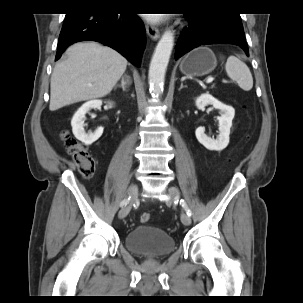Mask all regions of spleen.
Returning <instances> with one entry per match:
<instances>
[{"mask_svg": "<svg viewBox=\"0 0 303 303\" xmlns=\"http://www.w3.org/2000/svg\"><path fill=\"white\" fill-rule=\"evenodd\" d=\"M227 75L244 91L253 87V77L248 66L235 56H230L225 64Z\"/></svg>", "mask_w": 303, "mask_h": 303, "instance_id": "3e777b00", "label": "spleen"}]
</instances>
